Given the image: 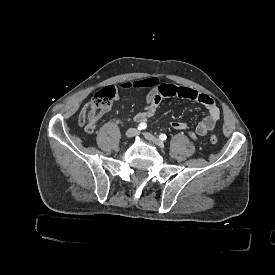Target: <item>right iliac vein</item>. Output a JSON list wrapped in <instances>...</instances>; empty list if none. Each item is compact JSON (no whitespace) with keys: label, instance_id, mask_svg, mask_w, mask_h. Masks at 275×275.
<instances>
[{"label":"right iliac vein","instance_id":"1","mask_svg":"<svg viewBox=\"0 0 275 275\" xmlns=\"http://www.w3.org/2000/svg\"><path fill=\"white\" fill-rule=\"evenodd\" d=\"M138 133V130L136 128H129L127 131H126V137L128 139H131L133 138L136 134Z\"/></svg>","mask_w":275,"mask_h":275}]
</instances>
